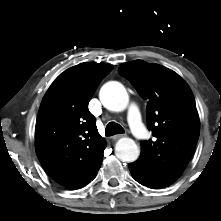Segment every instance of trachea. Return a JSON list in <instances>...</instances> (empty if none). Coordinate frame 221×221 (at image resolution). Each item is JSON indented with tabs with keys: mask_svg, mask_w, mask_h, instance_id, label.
I'll return each mask as SVG.
<instances>
[{
	"mask_svg": "<svg viewBox=\"0 0 221 221\" xmlns=\"http://www.w3.org/2000/svg\"><path fill=\"white\" fill-rule=\"evenodd\" d=\"M122 133H124V129L118 123L110 122L107 124L105 130L106 136H113L115 134H122Z\"/></svg>",
	"mask_w": 221,
	"mask_h": 221,
	"instance_id": "1",
	"label": "trachea"
}]
</instances>
